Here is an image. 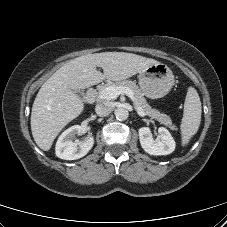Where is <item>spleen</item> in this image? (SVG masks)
Listing matches in <instances>:
<instances>
[{"instance_id": "obj_1", "label": "spleen", "mask_w": 227, "mask_h": 227, "mask_svg": "<svg viewBox=\"0 0 227 227\" xmlns=\"http://www.w3.org/2000/svg\"><path fill=\"white\" fill-rule=\"evenodd\" d=\"M201 101L194 87H189L187 90L184 113L180 125L181 143L185 146L190 139L197 133L201 122Z\"/></svg>"}]
</instances>
